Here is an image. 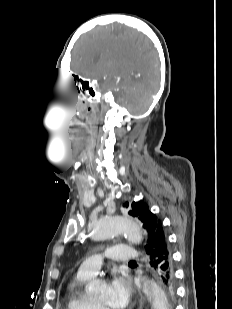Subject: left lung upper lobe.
Listing matches in <instances>:
<instances>
[{
    "label": "left lung upper lobe",
    "mask_w": 232,
    "mask_h": 309,
    "mask_svg": "<svg viewBox=\"0 0 232 309\" xmlns=\"http://www.w3.org/2000/svg\"><path fill=\"white\" fill-rule=\"evenodd\" d=\"M129 204L128 202L124 204V207L128 208ZM128 214L132 217L137 218L140 220V222L143 225V228L146 231L147 238H146V244L149 245L151 241L154 239L156 234V229L158 225L161 224V221L157 218L155 214H153L146 203L142 202H133L132 205L129 207ZM166 292V291H165ZM169 303L172 304L175 293L172 295L170 291L166 292Z\"/></svg>",
    "instance_id": "5c2ea615"
}]
</instances>
